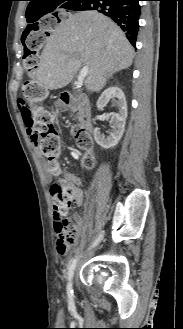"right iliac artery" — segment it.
I'll use <instances>...</instances> for the list:
<instances>
[{"instance_id":"obj_1","label":"right iliac artery","mask_w":183,"mask_h":329,"mask_svg":"<svg viewBox=\"0 0 183 329\" xmlns=\"http://www.w3.org/2000/svg\"><path fill=\"white\" fill-rule=\"evenodd\" d=\"M104 236V231L99 235V237L94 241L91 247L96 246L103 238ZM78 261V257L73 259L69 265L68 268V284H67V294H68V299H69V306L72 308L74 306V301H73V289H72V278L74 274V270L76 267Z\"/></svg>"}]
</instances>
